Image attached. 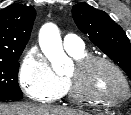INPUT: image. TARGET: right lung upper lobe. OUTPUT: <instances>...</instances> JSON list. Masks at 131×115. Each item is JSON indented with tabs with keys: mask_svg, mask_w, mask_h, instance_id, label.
I'll list each match as a JSON object with an SVG mask.
<instances>
[{
	"mask_svg": "<svg viewBox=\"0 0 131 115\" xmlns=\"http://www.w3.org/2000/svg\"><path fill=\"white\" fill-rule=\"evenodd\" d=\"M35 16V9L26 5L12 4L0 10V58L24 50Z\"/></svg>",
	"mask_w": 131,
	"mask_h": 115,
	"instance_id": "right-lung-upper-lobe-1",
	"label": "right lung upper lobe"
}]
</instances>
